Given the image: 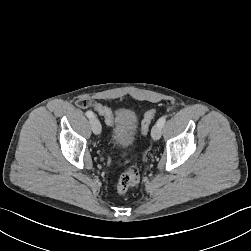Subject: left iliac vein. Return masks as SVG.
<instances>
[{"instance_id": "obj_1", "label": "left iliac vein", "mask_w": 251, "mask_h": 251, "mask_svg": "<svg viewBox=\"0 0 251 251\" xmlns=\"http://www.w3.org/2000/svg\"><path fill=\"white\" fill-rule=\"evenodd\" d=\"M161 134H162V130H161V127L159 125H154L153 128H152V131H151V136L154 140H158L160 139L161 137Z\"/></svg>"}]
</instances>
